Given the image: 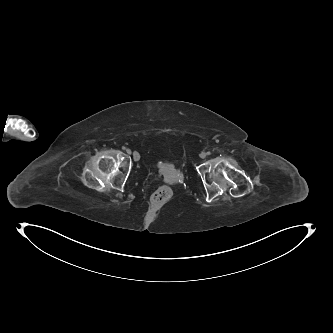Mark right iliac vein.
<instances>
[{
	"label": "right iliac vein",
	"instance_id": "1",
	"mask_svg": "<svg viewBox=\"0 0 333 333\" xmlns=\"http://www.w3.org/2000/svg\"><path fill=\"white\" fill-rule=\"evenodd\" d=\"M126 152L130 155L131 154V150L130 149H127ZM133 158L134 160H139L140 159V154L138 152H134L133 153Z\"/></svg>",
	"mask_w": 333,
	"mask_h": 333
}]
</instances>
